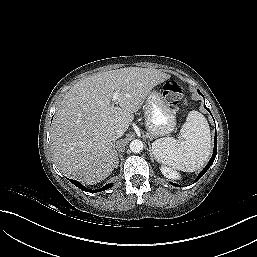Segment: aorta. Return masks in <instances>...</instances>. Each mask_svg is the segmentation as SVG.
Masks as SVG:
<instances>
[{
    "mask_svg": "<svg viewBox=\"0 0 257 257\" xmlns=\"http://www.w3.org/2000/svg\"><path fill=\"white\" fill-rule=\"evenodd\" d=\"M143 142L139 139H135L133 140L130 145L129 148L133 153H139L143 150Z\"/></svg>",
    "mask_w": 257,
    "mask_h": 257,
    "instance_id": "obj_1",
    "label": "aorta"
}]
</instances>
